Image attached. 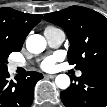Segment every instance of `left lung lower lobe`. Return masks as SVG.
Instances as JSON below:
<instances>
[{"mask_svg": "<svg viewBox=\"0 0 107 107\" xmlns=\"http://www.w3.org/2000/svg\"><path fill=\"white\" fill-rule=\"evenodd\" d=\"M77 83L60 93L66 107H107V72L82 71Z\"/></svg>", "mask_w": 107, "mask_h": 107, "instance_id": "1", "label": "left lung lower lobe"}]
</instances>
